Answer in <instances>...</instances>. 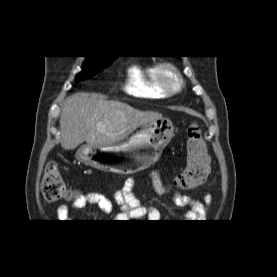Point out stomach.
<instances>
[{
  "label": "stomach",
  "mask_w": 277,
  "mask_h": 277,
  "mask_svg": "<svg viewBox=\"0 0 277 277\" xmlns=\"http://www.w3.org/2000/svg\"><path fill=\"white\" fill-rule=\"evenodd\" d=\"M174 136L169 119L149 122L125 141L110 146L80 147L76 158L102 171L129 174L155 164Z\"/></svg>",
  "instance_id": "obj_1"
}]
</instances>
